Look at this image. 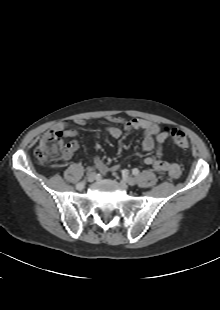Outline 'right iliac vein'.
I'll return each instance as SVG.
<instances>
[{
	"label": "right iliac vein",
	"instance_id": "63e3f726",
	"mask_svg": "<svg viewBox=\"0 0 220 310\" xmlns=\"http://www.w3.org/2000/svg\"><path fill=\"white\" fill-rule=\"evenodd\" d=\"M95 179H96L95 174H90V175L88 176V181H89V182H93Z\"/></svg>",
	"mask_w": 220,
	"mask_h": 310
}]
</instances>
